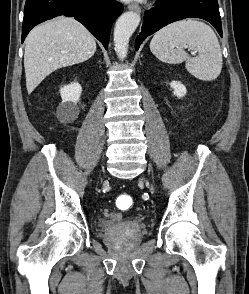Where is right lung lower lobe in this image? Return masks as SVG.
<instances>
[{"mask_svg":"<svg viewBox=\"0 0 249 294\" xmlns=\"http://www.w3.org/2000/svg\"><path fill=\"white\" fill-rule=\"evenodd\" d=\"M122 11L116 0H26L22 42L34 26L64 14L81 22L107 49L112 23Z\"/></svg>","mask_w":249,"mask_h":294,"instance_id":"right-lung-lower-lobe-1","label":"right lung lower lobe"}]
</instances>
